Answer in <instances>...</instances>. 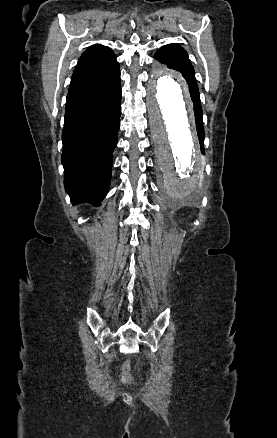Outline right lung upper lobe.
<instances>
[{"label": "right lung upper lobe", "mask_w": 277, "mask_h": 438, "mask_svg": "<svg viewBox=\"0 0 277 438\" xmlns=\"http://www.w3.org/2000/svg\"><path fill=\"white\" fill-rule=\"evenodd\" d=\"M119 68L116 55L102 45H93L81 55L72 75L70 89L112 75Z\"/></svg>", "instance_id": "cb5924a9"}]
</instances>
